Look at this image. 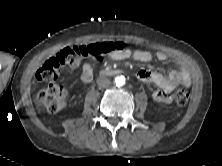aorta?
I'll use <instances>...</instances> for the list:
<instances>
[{
    "instance_id": "aorta-1",
    "label": "aorta",
    "mask_w": 222,
    "mask_h": 166,
    "mask_svg": "<svg viewBox=\"0 0 222 166\" xmlns=\"http://www.w3.org/2000/svg\"><path fill=\"white\" fill-rule=\"evenodd\" d=\"M115 83L117 86H123L125 84V77L124 76H117L115 78Z\"/></svg>"
}]
</instances>
